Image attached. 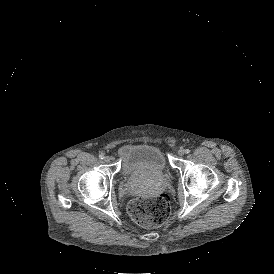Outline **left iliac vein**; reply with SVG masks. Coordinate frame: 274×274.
I'll return each mask as SVG.
<instances>
[{"label": "left iliac vein", "mask_w": 274, "mask_h": 274, "mask_svg": "<svg viewBox=\"0 0 274 274\" xmlns=\"http://www.w3.org/2000/svg\"><path fill=\"white\" fill-rule=\"evenodd\" d=\"M177 153L179 156H183L185 154V150L183 148H180Z\"/></svg>", "instance_id": "1"}]
</instances>
